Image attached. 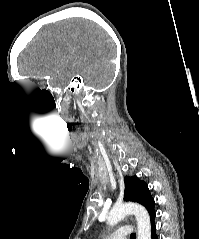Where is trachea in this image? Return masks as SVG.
<instances>
[{"label": "trachea", "instance_id": "3493384b", "mask_svg": "<svg viewBox=\"0 0 199 239\" xmlns=\"http://www.w3.org/2000/svg\"><path fill=\"white\" fill-rule=\"evenodd\" d=\"M136 238V234L135 233H132L131 235H130V239H135Z\"/></svg>", "mask_w": 199, "mask_h": 239}]
</instances>
